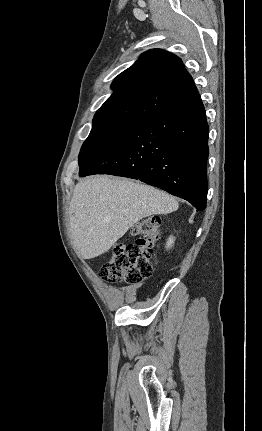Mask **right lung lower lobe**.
Wrapping results in <instances>:
<instances>
[{
	"label": "right lung lower lobe",
	"mask_w": 262,
	"mask_h": 431,
	"mask_svg": "<svg viewBox=\"0 0 262 431\" xmlns=\"http://www.w3.org/2000/svg\"><path fill=\"white\" fill-rule=\"evenodd\" d=\"M208 124L199 94L132 126L80 176L139 179L206 207Z\"/></svg>",
	"instance_id": "right-lung-lower-lobe-1"
}]
</instances>
